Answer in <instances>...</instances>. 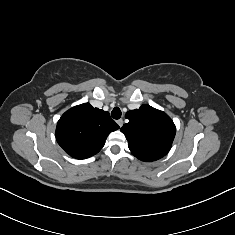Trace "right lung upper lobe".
Listing matches in <instances>:
<instances>
[{"mask_svg":"<svg viewBox=\"0 0 235 235\" xmlns=\"http://www.w3.org/2000/svg\"><path fill=\"white\" fill-rule=\"evenodd\" d=\"M117 129L118 124L107 111L83 103L61 116L56 127V139L70 156L86 159L98 153L109 133Z\"/></svg>","mask_w":235,"mask_h":235,"instance_id":"1","label":"right lung upper lobe"}]
</instances>
